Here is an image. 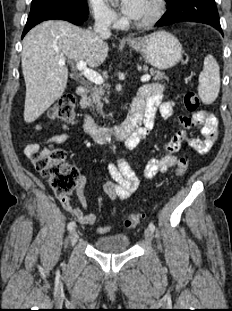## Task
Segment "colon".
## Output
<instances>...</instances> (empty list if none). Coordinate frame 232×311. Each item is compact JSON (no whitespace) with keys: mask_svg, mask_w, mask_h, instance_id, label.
<instances>
[{"mask_svg":"<svg viewBox=\"0 0 232 311\" xmlns=\"http://www.w3.org/2000/svg\"><path fill=\"white\" fill-rule=\"evenodd\" d=\"M200 99L194 92L186 93L184 106L187 112L196 113L199 109ZM75 99L70 94L62 95L49 111V119L69 125L75 119ZM35 168L47 178L52 190L62 196L71 195L77 187L79 180L78 170L67 162V154L61 148L49 147L47 152H38L33 155ZM188 169V159H180L174 175L183 177ZM142 221V214L131 213L125 216L124 225L134 228Z\"/></svg>","mask_w":232,"mask_h":311,"instance_id":"1","label":"colon"}]
</instances>
